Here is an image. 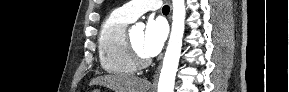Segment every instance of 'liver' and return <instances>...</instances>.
Segmentation results:
<instances>
[{"label":"liver","instance_id":"1","mask_svg":"<svg viewBox=\"0 0 289 92\" xmlns=\"http://www.w3.org/2000/svg\"><path fill=\"white\" fill-rule=\"evenodd\" d=\"M90 85H101L115 92H146L150 83L138 77L127 75H104L93 78Z\"/></svg>","mask_w":289,"mask_h":92}]
</instances>
